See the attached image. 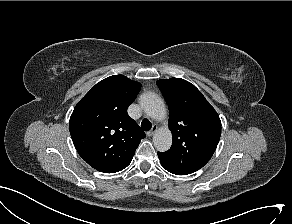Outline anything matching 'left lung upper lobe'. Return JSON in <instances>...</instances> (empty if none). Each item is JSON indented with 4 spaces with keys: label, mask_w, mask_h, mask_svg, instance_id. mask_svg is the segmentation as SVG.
<instances>
[{
    "label": "left lung upper lobe",
    "mask_w": 292,
    "mask_h": 224,
    "mask_svg": "<svg viewBox=\"0 0 292 224\" xmlns=\"http://www.w3.org/2000/svg\"><path fill=\"white\" fill-rule=\"evenodd\" d=\"M157 85L169 107L173 143L158 152L161 163L191 174L212 157L221 135V121L214 108L191 83L181 78L162 79Z\"/></svg>",
    "instance_id": "1"
}]
</instances>
